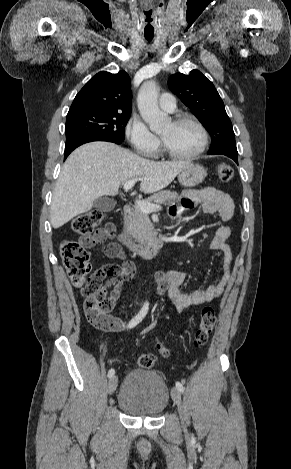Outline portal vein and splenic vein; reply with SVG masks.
I'll return each mask as SVG.
<instances>
[{
    "instance_id": "18ae733b",
    "label": "portal vein and splenic vein",
    "mask_w": 291,
    "mask_h": 469,
    "mask_svg": "<svg viewBox=\"0 0 291 469\" xmlns=\"http://www.w3.org/2000/svg\"><path fill=\"white\" fill-rule=\"evenodd\" d=\"M138 180H140V179H131V180L125 182L124 185H123V189L126 190V191L131 189ZM137 205L140 208V210L144 213H151L153 211H157V210L161 209L160 205L149 204V203H146L144 201H137Z\"/></svg>"
}]
</instances>
